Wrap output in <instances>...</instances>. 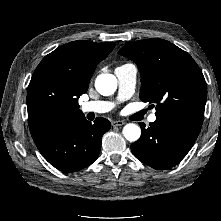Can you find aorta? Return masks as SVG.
Masks as SVG:
<instances>
[{"instance_id": "aorta-1", "label": "aorta", "mask_w": 221, "mask_h": 221, "mask_svg": "<svg viewBox=\"0 0 221 221\" xmlns=\"http://www.w3.org/2000/svg\"><path fill=\"white\" fill-rule=\"evenodd\" d=\"M96 90L103 96L112 95L117 89V79L112 74H100L95 80ZM124 137L130 141H137L141 136V129L138 125L129 123L123 128Z\"/></svg>"}]
</instances>
